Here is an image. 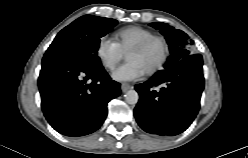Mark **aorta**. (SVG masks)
I'll return each instance as SVG.
<instances>
[{
    "label": "aorta",
    "instance_id": "obj_1",
    "mask_svg": "<svg viewBox=\"0 0 248 158\" xmlns=\"http://www.w3.org/2000/svg\"><path fill=\"white\" fill-rule=\"evenodd\" d=\"M124 97H125V101L131 105L137 104L139 100V95L135 90L127 91Z\"/></svg>",
    "mask_w": 248,
    "mask_h": 158
}]
</instances>
